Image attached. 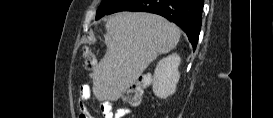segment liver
Listing matches in <instances>:
<instances>
[{
    "label": "liver",
    "instance_id": "obj_1",
    "mask_svg": "<svg viewBox=\"0 0 273 118\" xmlns=\"http://www.w3.org/2000/svg\"><path fill=\"white\" fill-rule=\"evenodd\" d=\"M179 28L161 16L146 12H120L106 23L107 51L94 68L93 93L99 101H116L159 54L174 49Z\"/></svg>",
    "mask_w": 273,
    "mask_h": 118
}]
</instances>
